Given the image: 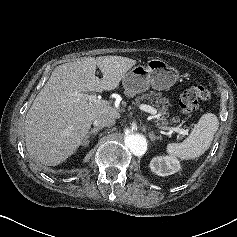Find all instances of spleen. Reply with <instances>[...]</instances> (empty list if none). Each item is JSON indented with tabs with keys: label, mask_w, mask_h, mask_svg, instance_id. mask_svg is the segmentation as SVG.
Masks as SVG:
<instances>
[{
	"label": "spleen",
	"mask_w": 237,
	"mask_h": 237,
	"mask_svg": "<svg viewBox=\"0 0 237 237\" xmlns=\"http://www.w3.org/2000/svg\"><path fill=\"white\" fill-rule=\"evenodd\" d=\"M218 127L219 121L215 114H203L183 142L169 143L166 150L170 156L181 160L195 159L210 147Z\"/></svg>",
	"instance_id": "3e777b00"
}]
</instances>
